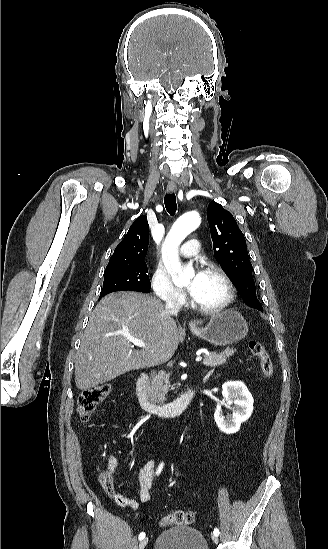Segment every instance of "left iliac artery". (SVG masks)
<instances>
[{"mask_svg": "<svg viewBox=\"0 0 328 549\" xmlns=\"http://www.w3.org/2000/svg\"><path fill=\"white\" fill-rule=\"evenodd\" d=\"M213 533H214V535L218 536L219 535V530L217 528H215Z\"/></svg>", "mask_w": 328, "mask_h": 549, "instance_id": "obj_1", "label": "left iliac artery"}]
</instances>
